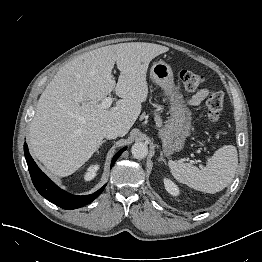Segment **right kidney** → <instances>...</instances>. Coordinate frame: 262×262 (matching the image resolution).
<instances>
[{
  "label": "right kidney",
  "instance_id": "obj_1",
  "mask_svg": "<svg viewBox=\"0 0 262 262\" xmlns=\"http://www.w3.org/2000/svg\"><path fill=\"white\" fill-rule=\"evenodd\" d=\"M98 170H99L98 164L89 166L85 175H84V179L86 181H91L92 179H94L96 177Z\"/></svg>",
  "mask_w": 262,
  "mask_h": 262
}]
</instances>
